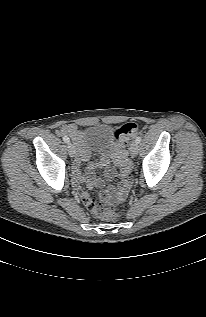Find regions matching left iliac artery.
I'll use <instances>...</instances> for the list:
<instances>
[{
  "instance_id": "44dca946",
  "label": "left iliac artery",
  "mask_w": 206,
  "mask_h": 317,
  "mask_svg": "<svg viewBox=\"0 0 206 317\" xmlns=\"http://www.w3.org/2000/svg\"><path fill=\"white\" fill-rule=\"evenodd\" d=\"M135 142L139 144L141 142V137L140 136L136 137Z\"/></svg>"
}]
</instances>
